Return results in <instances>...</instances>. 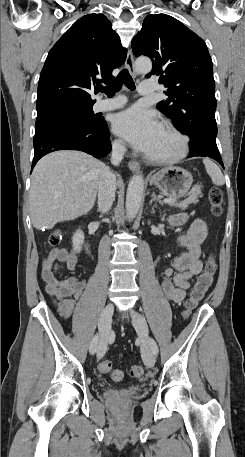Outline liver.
Masks as SVG:
<instances>
[{
  "label": "liver",
  "instance_id": "obj_1",
  "mask_svg": "<svg viewBox=\"0 0 245 457\" xmlns=\"http://www.w3.org/2000/svg\"><path fill=\"white\" fill-rule=\"evenodd\" d=\"M106 164L81 150H55L33 168L29 196L35 229H53L59 220H73L94 206Z\"/></svg>",
  "mask_w": 245,
  "mask_h": 457
}]
</instances>
